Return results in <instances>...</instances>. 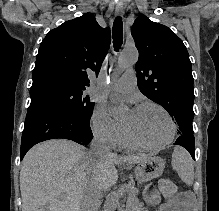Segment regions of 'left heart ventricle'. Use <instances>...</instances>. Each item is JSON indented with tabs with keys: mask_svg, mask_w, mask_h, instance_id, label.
<instances>
[{
	"mask_svg": "<svg viewBox=\"0 0 219 211\" xmlns=\"http://www.w3.org/2000/svg\"><path fill=\"white\" fill-rule=\"evenodd\" d=\"M123 123L134 137L146 144L162 143L170 134L166 115L154 106L127 110Z\"/></svg>",
	"mask_w": 219,
	"mask_h": 211,
	"instance_id": "obj_1",
	"label": "left heart ventricle"
}]
</instances>
